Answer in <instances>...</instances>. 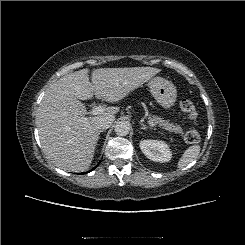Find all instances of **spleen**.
I'll use <instances>...</instances> for the list:
<instances>
[{
  "label": "spleen",
  "instance_id": "obj_1",
  "mask_svg": "<svg viewBox=\"0 0 245 245\" xmlns=\"http://www.w3.org/2000/svg\"><path fill=\"white\" fill-rule=\"evenodd\" d=\"M200 153L199 145H192L188 147L182 154L181 158L178 161V168H184L191 162H193Z\"/></svg>",
  "mask_w": 245,
  "mask_h": 245
}]
</instances>
